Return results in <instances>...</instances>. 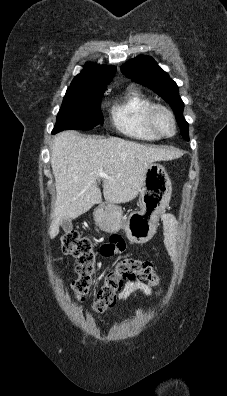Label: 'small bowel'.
<instances>
[{"label": "small bowel", "instance_id": "obj_1", "mask_svg": "<svg viewBox=\"0 0 227 396\" xmlns=\"http://www.w3.org/2000/svg\"><path fill=\"white\" fill-rule=\"evenodd\" d=\"M163 221V244L172 258H175L177 253V241L175 235V218L170 214H164ZM125 248L123 239L114 235L110 240L101 246V253L103 256L109 257L115 253L122 252ZM136 293H142L146 296L151 294V288L144 283L132 281L126 283L123 290L119 293V300L125 301Z\"/></svg>", "mask_w": 227, "mask_h": 396}]
</instances>
